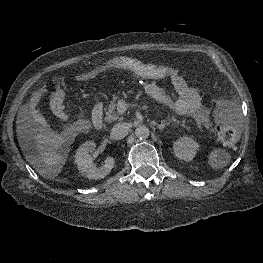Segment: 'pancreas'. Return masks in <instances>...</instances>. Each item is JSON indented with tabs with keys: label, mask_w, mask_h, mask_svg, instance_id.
Masks as SVG:
<instances>
[{
	"label": "pancreas",
	"mask_w": 263,
	"mask_h": 263,
	"mask_svg": "<svg viewBox=\"0 0 263 263\" xmlns=\"http://www.w3.org/2000/svg\"><path fill=\"white\" fill-rule=\"evenodd\" d=\"M119 99L118 96H114L112 98V101L110 102L107 111L105 113V120L107 121H115L119 119V115L120 113L118 111H116L117 109V103L116 101ZM119 101V100H118ZM173 122L179 123V120H177L176 118L172 117L171 118ZM183 127H186L185 125H183Z\"/></svg>",
	"instance_id": "obj_1"
}]
</instances>
